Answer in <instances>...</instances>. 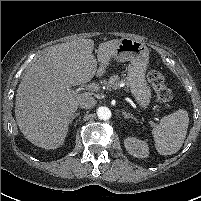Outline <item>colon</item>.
<instances>
[{"label":"colon","mask_w":201,"mask_h":201,"mask_svg":"<svg viewBox=\"0 0 201 201\" xmlns=\"http://www.w3.org/2000/svg\"><path fill=\"white\" fill-rule=\"evenodd\" d=\"M148 80L154 87L157 98L160 102L168 103L173 99V92L166 86L162 73L152 70L148 73Z\"/></svg>","instance_id":"1"}]
</instances>
